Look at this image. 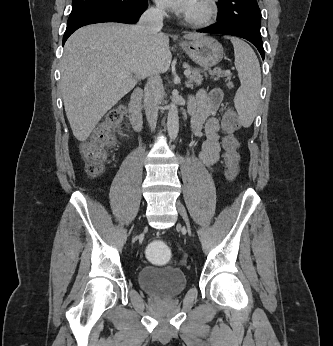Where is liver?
<instances>
[{
  "mask_svg": "<svg viewBox=\"0 0 333 346\" xmlns=\"http://www.w3.org/2000/svg\"><path fill=\"white\" fill-rule=\"evenodd\" d=\"M200 37L196 33L184 36L188 40ZM171 60L168 36H147L137 25L101 23L73 33L64 46L60 85L75 138L85 141L139 80L151 71L165 73Z\"/></svg>",
  "mask_w": 333,
  "mask_h": 346,
  "instance_id": "obj_1",
  "label": "liver"
}]
</instances>
